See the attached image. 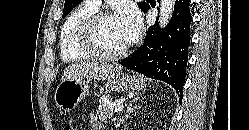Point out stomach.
Returning a JSON list of instances; mask_svg holds the SVG:
<instances>
[{"label": "stomach", "mask_w": 249, "mask_h": 130, "mask_svg": "<svg viewBox=\"0 0 249 130\" xmlns=\"http://www.w3.org/2000/svg\"><path fill=\"white\" fill-rule=\"evenodd\" d=\"M107 80L109 88L117 92L139 91L145 87L144 78L138 74L118 73ZM88 93V81L65 80L57 86L54 100L57 107L62 111L70 112L78 106Z\"/></svg>", "instance_id": "stomach-1"}]
</instances>
